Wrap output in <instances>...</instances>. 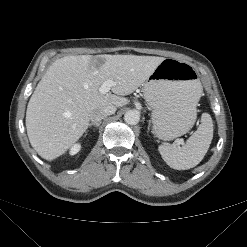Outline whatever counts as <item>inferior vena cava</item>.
<instances>
[{"label":"inferior vena cava","instance_id":"inferior-vena-cava-1","mask_svg":"<svg viewBox=\"0 0 247 247\" xmlns=\"http://www.w3.org/2000/svg\"><path fill=\"white\" fill-rule=\"evenodd\" d=\"M116 112L115 106H108L102 110H95L90 114V120L93 123H99L105 117L112 115Z\"/></svg>","mask_w":247,"mask_h":247}]
</instances>
